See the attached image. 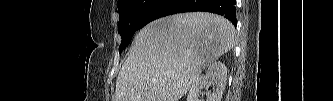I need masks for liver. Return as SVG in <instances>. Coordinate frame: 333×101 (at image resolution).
Masks as SVG:
<instances>
[{"label": "liver", "mask_w": 333, "mask_h": 101, "mask_svg": "<svg viewBox=\"0 0 333 101\" xmlns=\"http://www.w3.org/2000/svg\"><path fill=\"white\" fill-rule=\"evenodd\" d=\"M234 42V26L216 14L157 19L135 36L116 80L115 101H179Z\"/></svg>", "instance_id": "obj_1"}]
</instances>
